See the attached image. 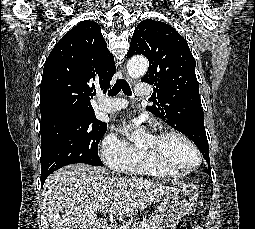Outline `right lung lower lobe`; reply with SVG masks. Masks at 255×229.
<instances>
[{
    "mask_svg": "<svg viewBox=\"0 0 255 229\" xmlns=\"http://www.w3.org/2000/svg\"><path fill=\"white\" fill-rule=\"evenodd\" d=\"M49 175H50V174H42V175H41V186H43V184H44L46 178H47Z\"/></svg>",
    "mask_w": 255,
    "mask_h": 229,
    "instance_id": "98d812e1",
    "label": "right lung lower lobe"
}]
</instances>
